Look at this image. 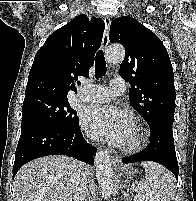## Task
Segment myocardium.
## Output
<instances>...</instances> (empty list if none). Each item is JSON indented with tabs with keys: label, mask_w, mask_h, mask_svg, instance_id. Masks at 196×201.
<instances>
[{
	"label": "myocardium",
	"mask_w": 196,
	"mask_h": 201,
	"mask_svg": "<svg viewBox=\"0 0 196 201\" xmlns=\"http://www.w3.org/2000/svg\"><path fill=\"white\" fill-rule=\"evenodd\" d=\"M137 137L136 139L129 145L121 146V150L127 153H134L141 150L149 139V130L145 126V124L138 122L136 123Z\"/></svg>",
	"instance_id": "obj_1"
}]
</instances>
